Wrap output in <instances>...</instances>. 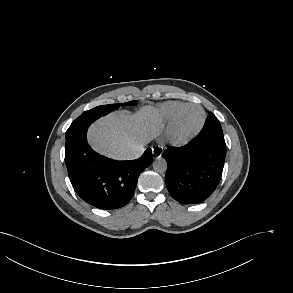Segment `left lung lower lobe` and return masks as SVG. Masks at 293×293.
Here are the masks:
<instances>
[{"instance_id":"left-lung-lower-lobe-1","label":"left lung lower lobe","mask_w":293,"mask_h":293,"mask_svg":"<svg viewBox=\"0 0 293 293\" xmlns=\"http://www.w3.org/2000/svg\"><path fill=\"white\" fill-rule=\"evenodd\" d=\"M225 155L222 128L207 118L196 138L162 153L168 164L165 180L171 196L183 204L207 199L221 179Z\"/></svg>"}]
</instances>
